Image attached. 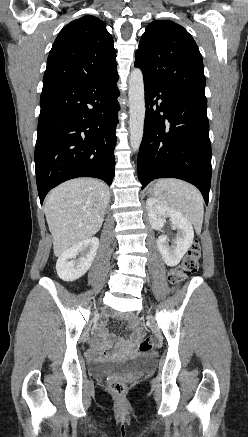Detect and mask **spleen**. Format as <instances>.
Segmentation results:
<instances>
[{
	"mask_svg": "<svg viewBox=\"0 0 248 437\" xmlns=\"http://www.w3.org/2000/svg\"><path fill=\"white\" fill-rule=\"evenodd\" d=\"M154 196L166 206L181 213L200 232L203 197L193 185L177 179H161L154 186Z\"/></svg>",
	"mask_w": 248,
	"mask_h": 437,
	"instance_id": "3e777b00",
	"label": "spleen"
}]
</instances>
